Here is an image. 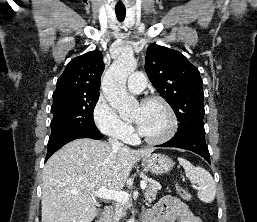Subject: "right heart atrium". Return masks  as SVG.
<instances>
[{
    "label": "right heart atrium",
    "instance_id": "d8ad5b80",
    "mask_svg": "<svg viewBox=\"0 0 257 222\" xmlns=\"http://www.w3.org/2000/svg\"><path fill=\"white\" fill-rule=\"evenodd\" d=\"M101 110L107 111L110 115L114 116L117 119V124L115 125V127L108 129L99 123L98 115ZM93 118L96 126L102 133L114 139L125 141V142L130 141L132 139L133 137L132 127L117 116L114 109L108 104L106 99L102 96L98 99L93 109Z\"/></svg>",
    "mask_w": 257,
    "mask_h": 222
}]
</instances>
